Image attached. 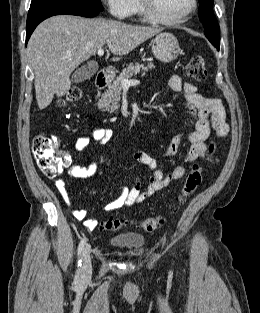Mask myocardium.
Wrapping results in <instances>:
<instances>
[{
	"label": "myocardium",
	"mask_w": 260,
	"mask_h": 313,
	"mask_svg": "<svg viewBox=\"0 0 260 313\" xmlns=\"http://www.w3.org/2000/svg\"><path fill=\"white\" fill-rule=\"evenodd\" d=\"M141 11L143 15L151 22L164 24V25H173L179 24L185 21L191 14H193L198 5L197 0L190 1V7L186 10L183 14L179 15L178 17L174 18H164L160 16L155 8V1L154 0H138Z\"/></svg>",
	"instance_id": "obj_1"
}]
</instances>
